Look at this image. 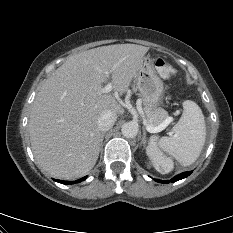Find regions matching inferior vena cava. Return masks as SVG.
Listing matches in <instances>:
<instances>
[{"label":"inferior vena cava","instance_id":"obj_1","mask_svg":"<svg viewBox=\"0 0 233 233\" xmlns=\"http://www.w3.org/2000/svg\"><path fill=\"white\" fill-rule=\"evenodd\" d=\"M117 119V115L111 110H104L97 120V126L101 132L111 129Z\"/></svg>","mask_w":233,"mask_h":233}]
</instances>
